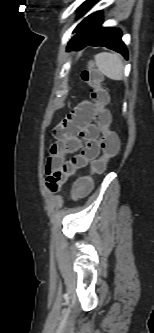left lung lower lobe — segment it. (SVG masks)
<instances>
[{"instance_id": "0a47b994", "label": "left lung lower lobe", "mask_w": 154, "mask_h": 333, "mask_svg": "<svg viewBox=\"0 0 154 333\" xmlns=\"http://www.w3.org/2000/svg\"><path fill=\"white\" fill-rule=\"evenodd\" d=\"M102 22L101 11L86 17L81 22L77 33L70 40L67 49L80 50L86 46H104L128 58L127 49L121 40V31L110 27L103 28Z\"/></svg>"}]
</instances>
